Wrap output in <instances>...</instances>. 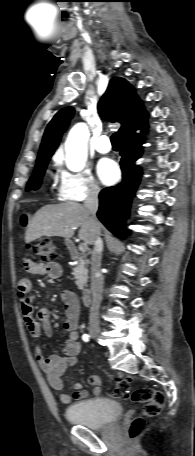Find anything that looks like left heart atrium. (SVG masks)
<instances>
[{"label": "left heart atrium", "instance_id": "1", "mask_svg": "<svg viewBox=\"0 0 195 456\" xmlns=\"http://www.w3.org/2000/svg\"><path fill=\"white\" fill-rule=\"evenodd\" d=\"M97 174L104 184L111 185L119 176V168L112 159L103 158L97 164Z\"/></svg>", "mask_w": 195, "mask_h": 456}]
</instances>
